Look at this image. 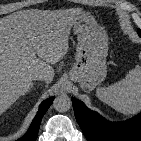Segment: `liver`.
<instances>
[{"mask_svg": "<svg viewBox=\"0 0 141 141\" xmlns=\"http://www.w3.org/2000/svg\"><path fill=\"white\" fill-rule=\"evenodd\" d=\"M80 14V9L22 10L0 19V116L30 92L36 72L50 78L46 84L52 81V65L68 54Z\"/></svg>", "mask_w": 141, "mask_h": 141, "instance_id": "liver-1", "label": "liver"}]
</instances>
